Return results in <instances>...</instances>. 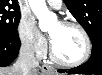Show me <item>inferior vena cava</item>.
Returning a JSON list of instances; mask_svg holds the SVG:
<instances>
[{"label": "inferior vena cava", "mask_w": 102, "mask_h": 75, "mask_svg": "<svg viewBox=\"0 0 102 75\" xmlns=\"http://www.w3.org/2000/svg\"><path fill=\"white\" fill-rule=\"evenodd\" d=\"M39 62L34 56L33 44L26 42L21 46L15 66L22 75H32L36 72Z\"/></svg>", "instance_id": "obj_1"}]
</instances>
